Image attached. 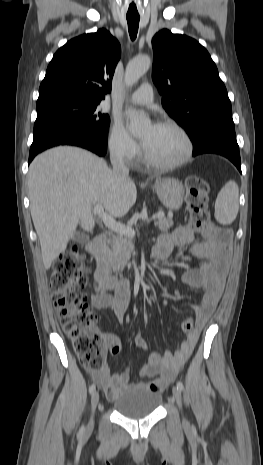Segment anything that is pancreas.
I'll list each match as a JSON object with an SVG mask.
<instances>
[{
  "label": "pancreas",
  "instance_id": "pancreas-1",
  "mask_svg": "<svg viewBox=\"0 0 263 465\" xmlns=\"http://www.w3.org/2000/svg\"><path fill=\"white\" fill-rule=\"evenodd\" d=\"M155 226L162 232H167L173 226L171 217L159 218ZM133 248L131 237L118 234L112 236L108 241V247L105 252V257L112 266L114 272H122L125 266L131 267L130 258Z\"/></svg>",
  "mask_w": 263,
  "mask_h": 465
}]
</instances>
